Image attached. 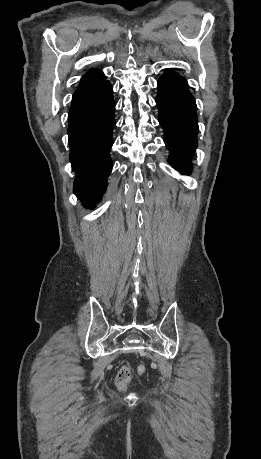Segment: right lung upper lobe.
<instances>
[{
  "label": "right lung upper lobe",
  "instance_id": "1",
  "mask_svg": "<svg viewBox=\"0 0 261 459\" xmlns=\"http://www.w3.org/2000/svg\"><path fill=\"white\" fill-rule=\"evenodd\" d=\"M106 82L108 81L100 70L91 69L82 77L80 84L73 95L72 103L98 89Z\"/></svg>",
  "mask_w": 261,
  "mask_h": 459
}]
</instances>
